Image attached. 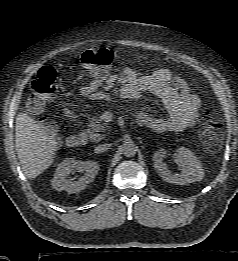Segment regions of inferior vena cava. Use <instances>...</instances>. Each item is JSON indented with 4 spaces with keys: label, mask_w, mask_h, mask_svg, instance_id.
Returning <instances> with one entry per match:
<instances>
[{
    "label": "inferior vena cava",
    "mask_w": 238,
    "mask_h": 261,
    "mask_svg": "<svg viewBox=\"0 0 238 261\" xmlns=\"http://www.w3.org/2000/svg\"><path fill=\"white\" fill-rule=\"evenodd\" d=\"M109 148H110V144L98 145V146L95 148V152L101 153V152H104V151L108 150Z\"/></svg>",
    "instance_id": "inferior-vena-cava-1"
}]
</instances>
